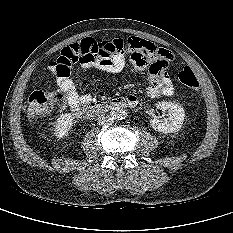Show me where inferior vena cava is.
<instances>
[{
	"mask_svg": "<svg viewBox=\"0 0 233 233\" xmlns=\"http://www.w3.org/2000/svg\"><path fill=\"white\" fill-rule=\"evenodd\" d=\"M98 123L100 125H110L113 123V119L110 115L102 114L98 117Z\"/></svg>",
	"mask_w": 233,
	"mask_h": 233,
	"instance_id": "inferior-vena-cava-1",
	"label": "inferior vena cava"
}]
</instances>
